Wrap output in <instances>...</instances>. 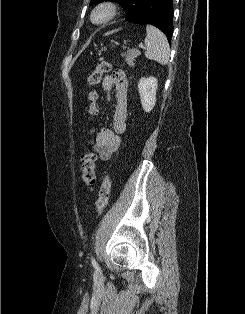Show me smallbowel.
Segmentation results:
<instances>
[{
    "label": "small bowel",
    "instance_id": "1",
    "mask_svg": "<svg viewBox=\"0 0 245 314\" xmlns=\"http://www.w3.org/2000/svg\"><path fill=\"white\" fill-rule=\"evenodd\" d=\"M102 87L107 100H111V92L115 93L113 129L102 127L95 138L93 151L101 160H108L121 145V136L127 130L128 80L123 69L115 70L102 80Z\"/></svg>",
    "mask_w": 245,
    "mask_h": 314
}]
</instances>
